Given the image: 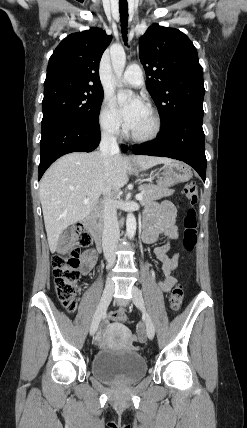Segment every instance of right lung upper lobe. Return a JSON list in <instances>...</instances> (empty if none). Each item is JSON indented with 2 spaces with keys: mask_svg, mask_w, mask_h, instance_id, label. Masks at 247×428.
Instances as JSON below:
<instances>
[{
  "mask_svg": "<svg viewBox=\"0 0 247 428\" xmlns=\"http://www.w3.org/2000/svg\"><path fill=\"white\" fill-rule=\"evenodd\" d=\"M110 41L111 36L97 28L63 39L50 57L44 92L62 87L102 89L99 62Z\"/></svg>",
  "mask_w": 247,
  "mask_h": 428,
  "instance_id": "right-lung-upper-lobe-1",
  "label": "right lung upper lobe"
}]
</instances>
